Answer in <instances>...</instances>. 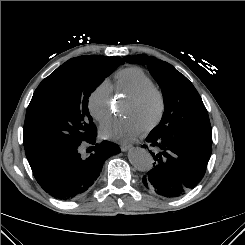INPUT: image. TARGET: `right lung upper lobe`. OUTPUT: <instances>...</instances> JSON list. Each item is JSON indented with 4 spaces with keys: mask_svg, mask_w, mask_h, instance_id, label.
Listing matches in <instances>:
<instances>
[{
    "mask_svg": "<svg viewBox=\"0 0 245 245\" xmlns=\"http://www.w3.org/2000/svg\"><path fill=\"white\" fill-rule=\"evenodd\" d=\"M85 56H87V55H85ZM119 58H120V57H119ZM120 59L122 60V58H120ZM122 61H123V60H122ZM24 148H25V153H26V155H27V153H28L29 150H30V145H29L28 143H25V142H24ZM39 160H40L39 158H31V159H28L30 166L35 165Z\"/></svg>",
    "mask_w": 245,
    "mask_h": 245,
    "instance_id": "cb5924a9",
    "label": "right lung upper lobe"
}]
</instances>
